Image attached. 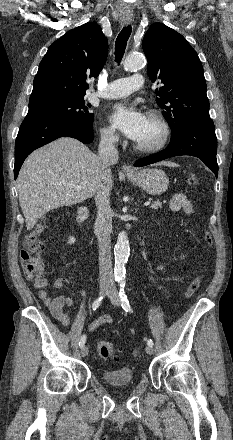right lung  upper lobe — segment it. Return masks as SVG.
Masks as SVG:
<instances>
[{
	"label": "right lung upper lobe",
	"mask_w": 233,
	"mask_h": 440,
	"mask_svg": "<svg viewBox=\"0 0 233 440\" xmlns=\"http://www.w3.org/2000/svg\"><path fill=\"white\" fill-rule=\"evenodd\" d=\"M108 52V41L95 22L68 31L49 47L34 78L29 104L55 98H81L87 77H97Z\"/></svg>",
	"instance_id": "right-lung-upper-lobe-1"
}]
</instances>
